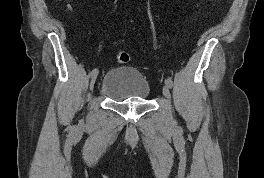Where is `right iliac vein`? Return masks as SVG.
<instances>
[{"label":"right iliac vein","mask_w":264,"mask_h":178,"mask_svg":"<svg viewBox=\"0 0 264 178\" xmlns=\"http://www.w3.org/2000/svg\"><path fill=\"white\" fill-rule=\"evenodd\" d=\"M97 75L92 76L91 81H90V90H93L95 82H96Z\"/></svg>","instance_id":"1"}]
</instances>
